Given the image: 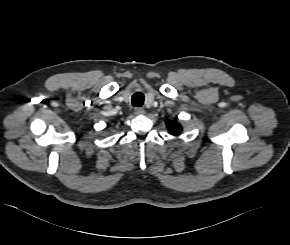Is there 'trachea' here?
<instances>
[{
  "label": "trachea",
  "mask_w": 290,
  "mask_h": 245,
  "mask_svg": "<svg viewBox=\"0 0 290 245\" xmlns=\"http://www.w3.org/2000/svg\"><path fill=\"white\" fill-rule=\"evenodd\" d=\"M144 103V95L141 92H137L132 96V105L134 106H142Z\"/></svg>",
  "instance_id": "trachea-1"
}]
</instances>
